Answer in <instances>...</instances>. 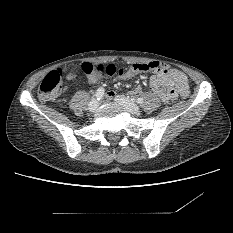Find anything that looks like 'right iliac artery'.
<instances>
[{"instance_id": "obj_1", "label": "right iliac artery", "mask_w": 233, "mask_h": 233, "mask_svg": "<svg viewBox=\"0 0 233 233\" xmlns=\"http://www.w3.org/2000/svg\"><path fill=\"white\" fill-rule=\"evenodd\" d=\"M104 92H105V90H104L103 88H99V89L96 91V94H95L96 99H97V100H101L102 97H103V95H104Z\"/></svg>"}]
</instances>
